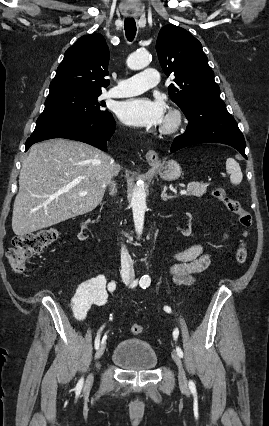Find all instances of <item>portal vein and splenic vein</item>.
<instances>
[{"label": "portal vein and splenic vein", "mask_w": 269, "mask_h": 426, "mask_svg": "<svg viewBox=\"0 0 269 426\" xmlns=\"http://www.w3.org/2000/svg\"><path fill=\"white\" fill-rule=\"evenodd\" d=\"M180 194H181V195L187 194V191H186V190H181V191H180ZM79 195H80V196H86V195H87V192H86V191H82V192H80V193H79Z\"/></svg>", "instance_id": "1"}]
</instances>
